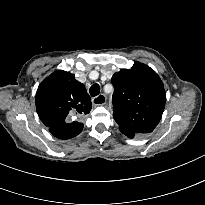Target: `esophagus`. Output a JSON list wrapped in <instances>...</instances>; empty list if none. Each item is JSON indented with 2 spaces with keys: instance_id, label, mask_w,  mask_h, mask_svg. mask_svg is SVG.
<instances>
[{
  "instance_id": "esophagus-1",
  "label": "esophagus",
  "mask_w": 205,
  "mask_h": 205,
  "mask_svg": "<svg viewBox=\"0 0 205 205\" xmlns=\"http://www.w3.org/2000/svg\"><path fill=\"white\" fill-rule=\"evenodd\" d=\"M106 102V96L104 94H100L92 99V103L95 106L103 105Z\"/></svg>"
}]
</instances>
